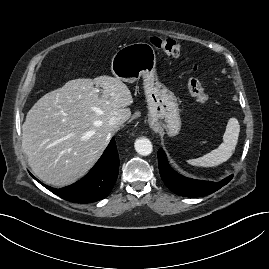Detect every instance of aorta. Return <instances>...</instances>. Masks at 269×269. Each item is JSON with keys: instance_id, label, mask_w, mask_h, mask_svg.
<instances>
[{"instance_id": "obj_1", "label": "aorta", "mask_w": 269, "mask_h": 269, "mask_svg": "<svg viewBox=\"0 0 269 269\" xmlns=\"http://www.w3.org/2000/svg\"><path fill=\"white\" fill-rule=\"evenodd\" d=\"M135 150L138 154L142 156H147L152 153L153 146L148 138L141 137L136 139L134 143Z\"/></svg>"}]
</instances>
